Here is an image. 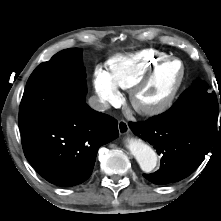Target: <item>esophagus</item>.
Listing matches in <instances>:
<instances>
[{"label": "esophagus", "instance_id": "esophagus-1", "mask_svg": "<svg viewBox=\"0 0 221 221\" xmlns=\"http://www.w3.org/2000/svg\"><path fill=\"white\" fill-rule=\"evenodd\" d=\"M118 130L121 135L129 133L130 129L128 123L124 120H120L118 122Z\"/></svg>", "mask_w": 221, "mask_h": 221}]
</instances>
